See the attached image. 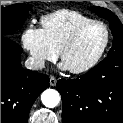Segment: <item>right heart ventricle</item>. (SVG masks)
I'll use <instances>...</instances> for the list:
<instances>
[{
    "instance_id": "e07e8e85",
    "label": "right heart ventricle",
    "mask_w": 123,
    "mask_h": 123,
    "mask_svg": "<svg viewBox=\"0 0 123 123\" xmlns=\"http://www.w3.org/2000/svg\"><path fill=\"white\" fill-rule=\"evenodd\" d=\"M93 21L77 11L61 9L43 16L40 20L42 31L49 45L59 52L63 44L80 26Z\"/></svg>"
}]
</instances>
